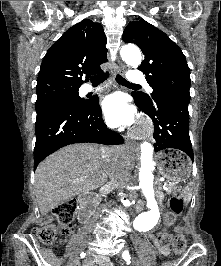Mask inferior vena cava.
I'll use <instances>...</instances> for the list:
<instances>
[{
	"label": "inferior vena cava",
	"mask_w": 221,
	"mask_h": 266,
	"mask_svg": "<svg viewBox=\"0 0 221 266\" xmlns=\"http://www.w3.org/2000/svg\"><path fill=\"white\" fill-rule=\"evenodd\" d=\"M103 158L107 163L108 174L111 180V184L115 188H123L127 179L126 171L118 165V157L109 148L103 149Z\"/></svg>",
	"instance_id": "inferior-vena-cava-1"
}]
</instances>
